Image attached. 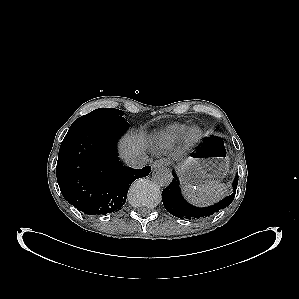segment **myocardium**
<instances>
[{
    "label": "myocardium",
    "mask_w": 299,
    "mask_h": 299,
    "mask_svg": "<svg viewBox=\"0 0 299 299\" xmlns=\"http://www.w3.org/2000/svg\"><path fill=\"white\" fill-rule=\"evenodd\" d=\"M202 137V130L198 126L192 127L188 132V142L190 144L197 143Z\"/></svg>",
    "instance_id": "myocardium-1"
}]
</instances>
